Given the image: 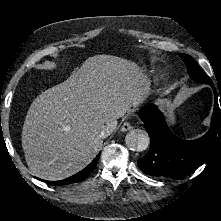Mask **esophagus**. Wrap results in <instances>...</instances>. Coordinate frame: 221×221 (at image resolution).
Here are the masks:
<instances>
[{
    "label": "esophagus",
    "mask_w": 221,
    "mask_h": 221,
    "mask_svg": "<svg viewBox=\"0 0 221 221\" xmlns=\"http://www.w3.org/2000/svg\"><path fill=\"white\" fill-rule=\"evenodd\" d=\"M133 127L129 122H124L123 125L121 126V131L122 132H127L131 130Z\"/></svg>",
    "instance_id": "1"
}]
</instances>
